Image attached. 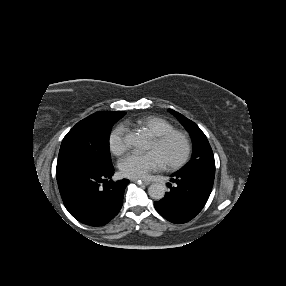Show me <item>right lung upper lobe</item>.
<instances>
[{"label": "right lung upper lobe", "mask_w": 286, "mask_h": 286, "mask_svg": "<svg viewBox=\"0 0 286 286\" xmlns=\"http://www.w3.org/2000/svg\"><path fill=\"white\" fill-rule=\"evenodd\" d=\"M111 112H106V111H103V112H96L92 115H90L89 117H96V116H105V115H108L110 114Z\"/></svg>", "instance_id": "1"}]
</instances>
